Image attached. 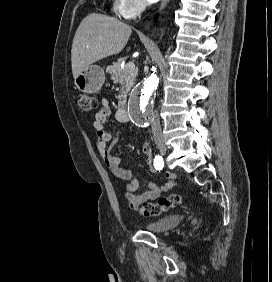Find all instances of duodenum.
<instances>
[{"label":"duodenum","instance_id":"410a0bca","mask_svg":"<svg viewBox=\"0 0 272 282\" xmlns=\"http://www.w3.org/2000/svg\"><path fill=\"white\" fill-rule=\"evenodd\" d=\"M126 107H127V100L122 99L119 105V113H120V117L123 119L127 118Z\"/></svg>","mask_w":272,"mask_h":282}]
</instances>
